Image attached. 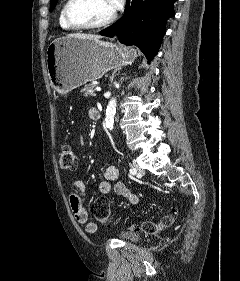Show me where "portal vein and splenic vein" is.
I'll return each instance as SVG.
<instances>
[{"label":"portal vein and splenic vein","mask_w":240,"mask_h":281,"mask_svg":"<svg viewBox=\"0 0 240 281\" xmlns=\"http://www.w3.org/2000/svg\"><path fill=\"white\" fill-rule=\"evenodd\" d=\"M96 91H101V88H100V87H97V88H96Z\"/></svg>","instance_id":"18ae733b"}]
</instances>
